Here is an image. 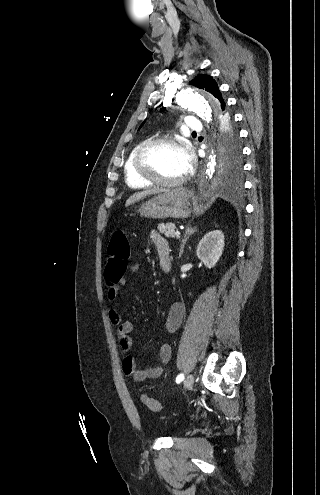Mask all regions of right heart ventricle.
<instances>
[{"label":"right heart ventricle","instance_id":"right-heart-ventricle-1","mask_svg":"<svg viewBox=\"0 0 320 495\" xmlns=\"http://www.w3.org/2000/svg\"><path fill=\"white\" fill-rule=\"evenodd\" d=\"M141 144L142 143L136 145L130 151V153L128 154V156L125 160L124 167H123L125 182L127 183V185L129 187L135 188V189L148 188V187L152 186V183L138 177L137 174L135 173V170H134V166H133L134 157L136 155L137 150L141 146Z\"/></svg>","mask_w":320,"mask_h":495}]
</instances>
